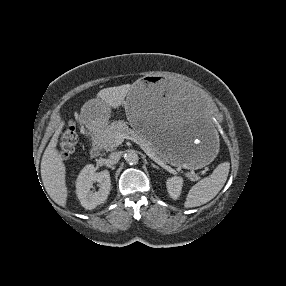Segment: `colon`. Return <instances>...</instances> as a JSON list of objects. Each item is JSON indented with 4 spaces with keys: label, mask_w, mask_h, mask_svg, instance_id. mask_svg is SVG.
<instances>
[{
    "label": "colon",
    "mask_w": 286,
    "mask_h": 286,
    "mask_svg": "<svg viewBox=\"0 0 286 286\" xmlns=\"http://www.w3.org/2000/svg\"><path fill=\"white\" fill-rule=\"evenodd\" d=\"M78 142V135L76 129L73 124H69L64 131L62 132L59 143L58 149L62 156H69L71 155Z\"/></svg>",
    "instance_id": "5ec220e1"
}]
</instances>
